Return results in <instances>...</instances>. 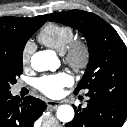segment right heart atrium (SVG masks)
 I'll return each instance as SVG.
<instances>
[{
  "mask_svg": "<svg viewBox=\"0 0 127 127\" xmlns=\"http://www.w3.org/2000/svg\"><path fill=\"white\" fill-rule=\"evenodd\" d=\"M35 50V45L33 42L29 41L24 45L22 51V62L23 64L27 65L30 63L31 56Z\"/></svg>",
  "mask_w": 127,
  "mask_h": 127,
  "instance_id": "1",
  "label": "right heart atrium"
}]
</instances>
